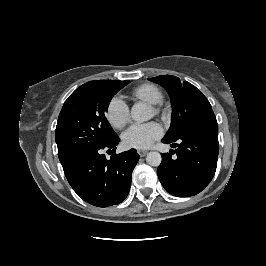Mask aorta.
Masks as SVG:
<instances>
[{
    "mask_svg": "<svg viewBox=\"0 0 266 266\" xmlns=\"http://www.w3.org/2000/svg\"><path fill=\"white\" fill-rule=\"evenodd\" d=\"M131 117L135 122L142 123L152 117L151 110L142 102L135 103L131 108ZM162 161L161 154L156 151L149 152L146 156V162L150 166L157 167Z\"/></svg>",
    "mask_w": 266,
    "mask_h": 266,
    "instance_id": "aorta-1",
    "label": "aorta"
}]
</instances>
